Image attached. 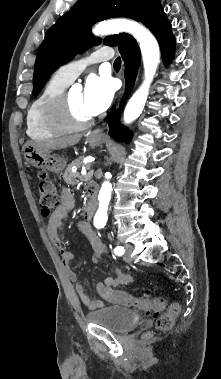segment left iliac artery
<instances>
[{"instance_id":"obj_1","label":"left iliac artery","mask_w":221,"mask_h":379,"mask_svg":"<svg viewBox=\"0 0 221 379\" xmlns=\"http://www.w3.org/2000/svg\"><path fill=\"white\" fill-rule=\"evenodd\" d=\"M124 252H125V249H124V247H122V246H117V247L114 249V253H115L116 255H118V256L123 255Z\"/></svg>"}]
</instances>
